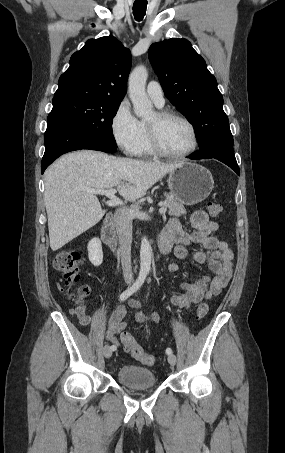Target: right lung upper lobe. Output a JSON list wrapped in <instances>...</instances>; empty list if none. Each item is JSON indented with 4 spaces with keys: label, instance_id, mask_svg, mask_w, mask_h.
I'll return each instance as SVG.
<instances>
[{
    "label": "right lung upper lobe",
    "instance_id": "1",
    "mask_svg": "<svg viewBox=\"0 0 285 453\" xmlns=\"http://www.w3.org/2000/svg\"><path fill=\"white\" fill-rule=\"evenodd\" d=\"M131 53L114 36L89 39L70 58L59 78L53 100L65 97H106L122 100L126 94Z\"/></svg>",
    "mask_w": 285,
    "mask_h": 453
}]
</instances>
